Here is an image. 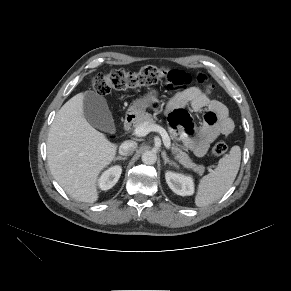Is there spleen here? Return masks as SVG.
I'll use <instances>...</instances> for the list:
<instances>
[{
    "mask_svg": "<svg viewBox=\"0 0 291 291\" xmlns=\"http://www.w3.org/2000/svg\"><path fill=\"white\" fill-rule=\"evenodd\" d=\"M241 149L233 146L228 154L223 156L217 167L200 180L195 196V204L204 207L219 200L232 186L239 171Z\"/></svg>",
    "mask_w": 291,
    "mask_h": 291,
    "instance_id": "spleen-1",
    "label": "spleen"
}]
</instances>
